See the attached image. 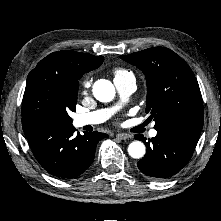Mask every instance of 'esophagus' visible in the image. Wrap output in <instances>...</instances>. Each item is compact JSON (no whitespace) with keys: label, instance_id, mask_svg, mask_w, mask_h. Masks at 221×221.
Masks as SVG:
<instances>
[{"label":"esophagus","instance_id":"34e87169","mask_svg":"<svg viewBox=\"0 0 221 221\" xmlns=\"http://www.w3.org/2000/svg\"><path fill=\"white\" fill-rule=\"evenodd\" d=\"M117 138L121 139V140H126L129 139L131 136L129 134L126 133H119L116 135Z\"/></svg>","mask_w":221,"mask_h":221}]
</instances>
